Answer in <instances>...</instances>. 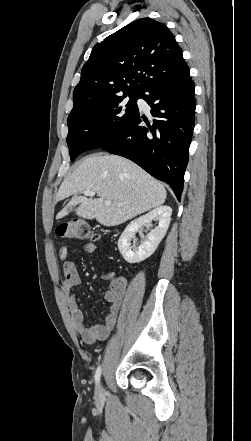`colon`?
<instances>
[{"label":"colon","mask_w":251,"mask_h":441,"mask_svg":"<svg viewBox=\"0 0 251 441\" xmlns=\"http://www.w3.org/2000/svg\"><path fill=\"white\" fill-rule=\"evenodd\" d=\"M56 233L62 238L79 239V240H99L101 234L94 230L82 219H73L64 223H61L56 228Z\"/></svg>","instance_id":"obj_1"}]
</instances>
